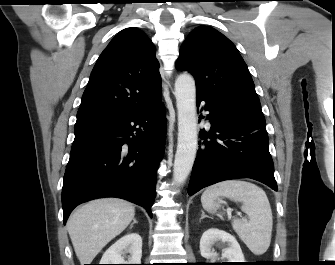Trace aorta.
Listing matches in <instances>:
<instances>
[{"label": "aorta", "mask_w": 335, "mask_h": 265, "mask_svg": "<svg viewBox=\"0 0 335 265\" xmlns=\"http://www.w3.org/2000/svg\"><path fill=\"white\" fill-rule=\"evenodd\" d=\"M175 97L178 111V141L173 178L180 186L192 170L198 147L196 88L195 80L191 75L181 74L177 77Z\"/></svg>", "instance_id": "762f6f07"}]
</instances>
